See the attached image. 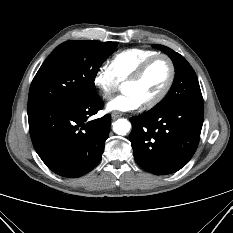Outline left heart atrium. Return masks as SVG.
I'll list each match as a JSON object with an SVG mask.
<instances>
[{
  "label": "left heart atrium",
  "mask_w": 233,
  "mask_h": 233,
  "mask_svg": "<svg viewBox=\"0 0 233 233\" xmlns=\"http://www.w3.org/2000/svg\"><path fill=\"white\" fill-rule=\"evenodd\" d=\"M142 105L140 99L132 92H123L121 95L113 98L107 104L109 111H133Z\"/></svg>",
  "instance_id": "obj_1"
}]
</instances>
